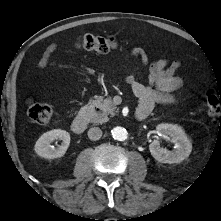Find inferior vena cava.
<instances>
[{
  "mask_svg": "<svg viewBox=\"0 0 221 221\" xmlns=\"http://www.w3.org/2000/svg\"><path fill=\"white\" fill-rule=\"evenodd\" d=\"M88 137L90 140H99L102 137V130L99 127H92L88 131Z\"/></svg>",
  "mask_w": 221,
  "mask_h": 221,
  "instance_id": "inferior-vena-cava-1",
  "label": "inferior vena cava"
}]
</instances>
